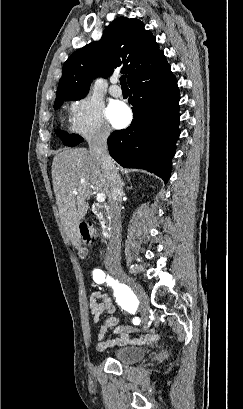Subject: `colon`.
I'll return each mask as SVG.
<instances>
[{"instance_id": "5ec220e1", "label": "colon", "mask_w": 243, "mask_h": 409, "mask_svg": "<svg viewBox=\"0 0 243 409\" xmlns=\"http://www.w3.org/2000/svg\"><path fill=\"white\" fill-rule=\"evenodd\" d=\"M80 232L83 237L84 243L90 244L96 240V234L93 228L88 224H82L80 226ZM85 254V248H81L79 251V255L82 257Z\"/></svg>"}]
</instances>
